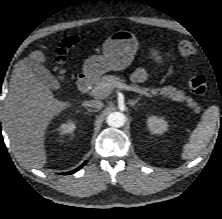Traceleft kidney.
Here are the masks:
<instances>
[{
	"label": "left kidney",
	"instance_id": "obj_1",
	"mask_svg": "<svg viewBox=\"0 0 222 219\" xmlns=\"http://www.w3.org/2000/svg\"><path fill=\"white\" fill-rule=\"evenodd\" d=\"M147 126L152 134H162L168 130V122L163 117L150 116Z\"/></svg>",
	"mask_w": 222,
	"mask_h": 219
}]
</instances>
